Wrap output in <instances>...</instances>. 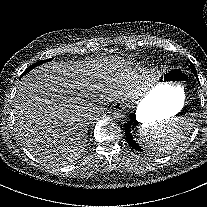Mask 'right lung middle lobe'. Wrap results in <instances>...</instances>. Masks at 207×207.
I'll use <instances>...</instances> for the list:
<instances>
[{"label": "right lung middle lobe", "mask_w": 207, "mask_h": 207, "mask_svg": "<svg viewBox=\"0 0 207 207\" xmlns=\"http://www.w3.org/2000/svg\"><path fill=\"white\" fill-rule=\"evenodd\" d=\"M52 60V58L51 59H47V60H43V61H39V62H37V63H35V64H32L31 66H29L23 73H22V75H21V77L22 76H24L26 73H28L29 71H31L32 69H34L35 67H37V66H39V65H41V64H43V63H46V62H49V61H51ZM20 77V78H21Z\"/></svg>", "instance_id": "obj_1"}]
</instances>
